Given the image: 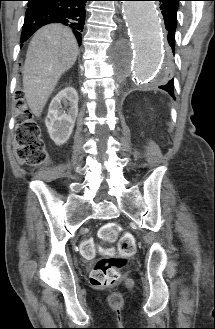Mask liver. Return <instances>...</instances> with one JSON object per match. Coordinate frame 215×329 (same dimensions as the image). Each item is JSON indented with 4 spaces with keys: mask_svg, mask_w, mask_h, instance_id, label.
<instances>
[{
    "mask_svg": "<svg viewBox=\"0 0 215 329\" xmlns=\"http://www.w3.org/2000/svg\"><path fill=\"white\" fill-rule=\"evenodd\" d=\"M78 44L70 28L50 24L30 41L23 68V91L31 112L40 117L61 75L75 63Z\"/></svg>",
    "mask_w": 215,
    "mask_h": 329,
    "instance_id": "6515ba94",
    "label": "liver"
}]
</instances>
